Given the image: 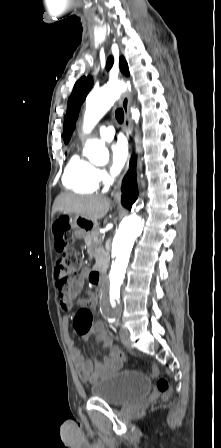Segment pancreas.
I'll use <instances>...</instances> for the list:
<instances>
[{
    "label": "pancreas",
    "mask_w": 221,
    "mask_h": 448,
    "mask_svg": "<svg viewBox=\"0 0 221 448\" xmlns=\"http://www.w3.org/2000/svg\"><path fill=\"white\" fill-rule=\"evenodd\" d=\"M85 244L88 251L96 260V265L100 268H104L107 265L108 257L102 246V239L99 238V233L92 230L85 238Z\"/></svg>",
    "instance_id": "pancreas-1"
}]
</instances>
